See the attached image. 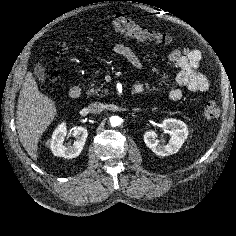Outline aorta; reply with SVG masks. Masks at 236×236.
Listing matches in <instances>:
<instances>
[{
    "label": "aorta",
    "instance_id": "aorta-1",
    "mask_svg": "<svg viewBox=\"0 0 236 236\" xmlns=\"http://www.w3.org/2000/svg\"><path fill=\"white\" fill-rule=\"evenodd\" d=\"M121 123V118L119 116H111L110 117V124L113 127L118 126Z\"/></svg>",
    "mask_w": 236,
    "mask_h": 236
}]
</instances>
